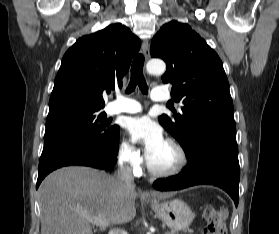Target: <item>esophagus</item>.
I'll return each instance as SVG.
<instances>
[{
    "mask_svg": "<svg viewBox=\"0 0 279 234\" xmlns=\"http://www.w3.org/2000/svg\"><path fill=\"white\" fill-rule=\"evenodd\" d=\"M142 50L145 58L148 59L150 56V50H149V42L147 39L144 40L142 43Z\"/></svg>",
    "mask_w": 279,
    "mask_h": 234,
    "instance_id": "obj_1",
    "label": "esophagus"
}]
</instances>
